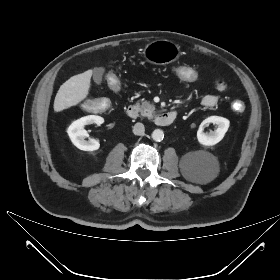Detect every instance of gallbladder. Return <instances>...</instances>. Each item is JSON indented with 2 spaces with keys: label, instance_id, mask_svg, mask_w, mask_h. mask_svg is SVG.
<instances>
[{
  "label": "gallbladder",
  "instance_id": "gallbladder-1",
  "mask_svg": "<svg viewBox=\"0 0 280 280\" xmlns=\"http://www.w3.org/2000/svg\"><path fill=\"white\" fill-rule=\"evenodd\" d=\"M105 72V69L100 67V68H96L94 70V73H93V80L96 84H101L102 83V78H103V74Z\"/></svg>",
  "mask_w": 280,
  "mask_h": 280
}]
</instances>
